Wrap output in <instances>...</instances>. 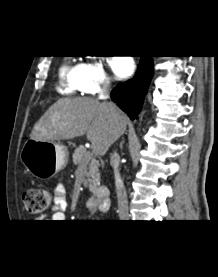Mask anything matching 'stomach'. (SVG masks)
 <instances>
[{"label": "stomach", "mask_w": 218, "mask_h": 277, "mask_svg": "<svg viewBox=\"0 0 218 277\" xmlns=\"http://www.w3.org/2000/svg\"><path fill=\"white\" fill-rule=\"evenodd\" d=\"M68 152L58 142L30 139L24 144L20 160L26 169L37 178H50L68 163Z\"/></svg>", "instance_id": "0dacf381"}]
</instances>
